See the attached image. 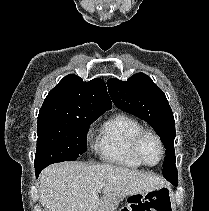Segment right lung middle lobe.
I'll return each mask as SVG.
<instances>
[{
	"mask_svg": "<svg viewBox=\"0 0 209 211\" xmlns=\"http://www.w3.org/2000/svg\"><path fill=\"white\" fill-rule=\"evenodd\" d=\"M97 118L38 120L35 169H43L61 161L76 160L86 151V135L90 124Z\"/></svg>",
	"mask_w": 209,
	"mask_h": 211,
	"instance_id": "obj_1",
	"label": "right lung middle lobe"
}]
</instances>
